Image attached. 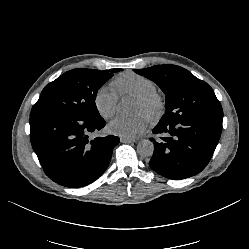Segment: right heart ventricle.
<instances>
[{
	"label": "right heart ventricle",
	"instance_id": "e07e8e85",
	"mask_svg": "<svg viewBox=\"0 0 249 249\" xmlns=\"http://www.w3.org/2000/svg\"><path fill=\"white\" fill-rule=\"evenodd\" d=\"M112 86L118 94H130L136 97L156 91V84L153 80L132 71L117 75Z\"/></svg>",
	"mask_w": 249,
	"mask_h": 249
}]
</instances>
